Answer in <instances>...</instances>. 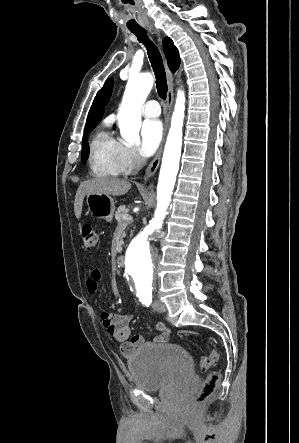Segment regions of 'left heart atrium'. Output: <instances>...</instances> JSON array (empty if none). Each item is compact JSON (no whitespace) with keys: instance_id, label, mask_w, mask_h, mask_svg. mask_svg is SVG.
Returning a JSON list of instances; mask_svg holds the SVG:
<instances>
[{"instance_id":"39dd6f15","label":"left heart atrium","mask_w":299,"mask_h":443,"mask_svg":"<svg viewBox=\"0 0 299 443\" xmlns=\"http://www.w3.org/2000/svg\"><path fill=\"white\" fill-rule=\"evenodd\" d=\"M141 142L140 151L148 157L151 156L160 144L163 127L160 120L150 119L145 120L141 126Z\"/></svg>"}]
</instances>
